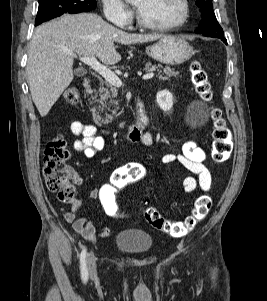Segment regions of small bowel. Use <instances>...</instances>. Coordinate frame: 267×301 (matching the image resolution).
Wrapping results in <instances>:
<instances>
[{
  "instance_id": "c3829d8e",
  "label": "small bowel",
  "mask_w": 267,
  "mask_h": 301,
  "mask_svg": "<svg viewBox=\"0 0 267 301\" xmlns=\"http://www.w3.org/2000/svg\"><path fill=\"white\" fill-rule=\"evenodd\" d=\"M70 132L78 137L72 143V148L83 153L86 157H93L97 152L105 147V139L101 136L97 128L92 124H85L81 121H73L70 124ZM142 141L145 145L150 146L153 143L151 134L145 133ZM207 154L204 149L199 147L194 141H186L178 153H167L162 157L165 164H179L191 174L182 178V187L186 193H192L197 187L203 191H209L212 187V176L206 166ZM74 184L80 185L82 178L72 169H69ZM98 190L94 189L90 192V199L96 200ZM80 202L76 201L72 210L63 213L64 219L72 224L73 229L88 241H95L97 238H108L112 235L109 228L96 227L85 217H78Z\"/></svg>"
}]
</instances>
